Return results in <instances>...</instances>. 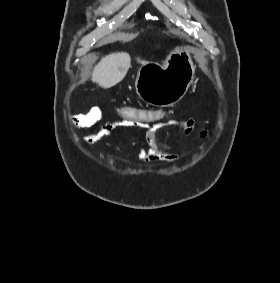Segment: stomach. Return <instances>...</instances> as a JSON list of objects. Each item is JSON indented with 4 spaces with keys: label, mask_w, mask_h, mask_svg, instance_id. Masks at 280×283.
I'll return each instance as SVG.
<instances>
[{
    "label": "stomach",
    "mask_w": 280,
    "mask_h": 283,
    "mask_svg": "<svg viewBox=\"0 0 280 283\" xmlns=\"http://www.w3.org/2000/svg\"><path fill=\"white\" fill-rule=\"evenodd\" d=\"M194 73L188 47L176 46L162 65L148 62L140 67L135 80L136 92L148 104L172 106L183 98L193 82Z\"/></svg>",
    "instance_id": "1"
}]
</instances>
